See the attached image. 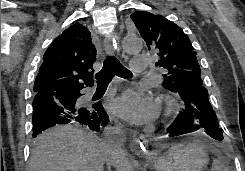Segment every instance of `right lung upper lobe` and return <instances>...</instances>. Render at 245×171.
Masks as SVG:
<instances>
[{"label":"right lung upper lobe","mask_w":245,"mask_h":171,"mask_svg":"<svg viewBox=\"0 0 245 171\" xmlns=\"http://www.w3.org/2000/svg\"><path fill=\"white\" fill-rule=\"evenodd\" d=\"M96 49L89 30L74 24L48 47L34 83V92H56L66 88L93 86Z\"/></svg>","instance_id":"right-lung-upper-lobe-1"}]
</instances>
